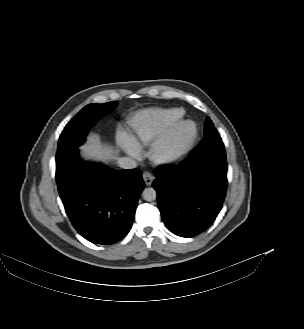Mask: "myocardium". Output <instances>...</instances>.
<instances>
[{
  "label": "myocardium",
  "instance_id": "1",
  "mask_svg": "<svg viewBox=\"0 0 304 329\" xmlns=\"http://www.w3.org/2000/svg\"><path fill=\"white\" fill-rule=\"evenodd\" d=\"M197 135L198 127L193 120L179 121L151 146L149 157L158 165L174 163L190 150Z\"/></svg>",
  "mask_w": 304,
  "mask_h": 329
}]
</instances>
